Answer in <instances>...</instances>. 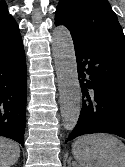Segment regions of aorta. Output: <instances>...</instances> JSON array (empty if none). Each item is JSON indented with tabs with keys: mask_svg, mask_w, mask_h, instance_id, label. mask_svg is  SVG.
Segmentation results:
<instances>
[{
	"mask_svg": "<svg viewBox=\"0 0 125 167\" xmlns=\"http://www.w3.org/2000/svg\"><path fill=\"white\" fill-rule=\"evenodd\" d=\"M52 53L58 79L63 125L67 131H72L80 115L81 92L73 40L69 30L64 26H57L53 30Z\"/></svg>",
	"mask_w": 125,
	"mask_h": 167,
	"instance_id": "aorta-1",
	"label": "aorta"
}]
</instances>
